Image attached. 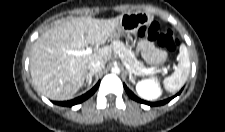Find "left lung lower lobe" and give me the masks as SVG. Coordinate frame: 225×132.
<instances>
[{
	"label": "left lung lower lobe",
	"instance_id": "obj_1",
	"mask_svg": "<svg viewBox=\"0 0 225 132\" xmlns=\"http://www.w3.org/2000/svg\"><path fill=\"white\" fill-rule=\"evenodd\" d=\"M124 88L127 92V94L133 99V100H136L138 102H141L143 104H147V105H150V106H159V105H164L166 103H168L170 100H172V98H169V99H166V100H163V101H160V102H155V103H152V102H146L144 100H141L139 99L138 97H136L125 85H124ZM180 94V92L178 93Z\"/></svg>",
	"mask_w": 225,
	"mask_h": 132
}]
</instances>
